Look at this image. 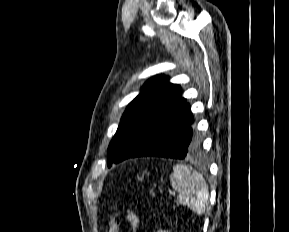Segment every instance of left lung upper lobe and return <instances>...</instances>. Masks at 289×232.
I'll use <instances>...</instances> for the list:
<instances>
[{"label":"left lung upper lobe","instance_id":"1","mask_svg":"<svg viewBox=\"0 0 289 232\" xmlns=\"http://www.w3.org/2000/svg\"><path fill=\"white\" fill-rule=\"evenodd\" d=\"M180 92L181 87L170 83L167 76L149 79L122 116L108 148L109 162L125 160L172 121L186 102Z\"/></svg>","mask_w":289,"mask_h":232}]
</instances>
